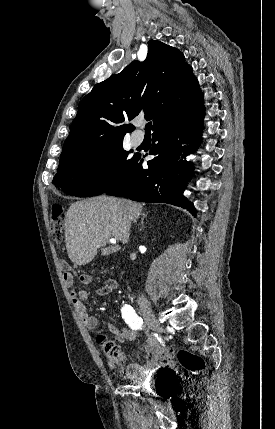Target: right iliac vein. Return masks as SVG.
Instances as JSON below:
<instances>
[{
    "label": "right iliac vein",
    "mask_w": 275,
    "mask_h": 429,
    "mask_svg": "<svg viewBox=\"0 0 275 429\" xmlns=\"http://www.w3.org/2000/svg\"><path fill=\"white\" fill-rule=\"evenodd\" d=\"M140 309L146 324L153 330L163 332V328L155 317L151 307L148 304L143 303L140 305Z\"/></svg>",
    "instance_id": "1"
}]
</instances>
